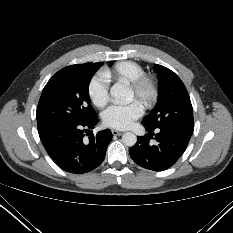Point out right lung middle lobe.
Masks as SVG:
<instances>
[{"instance_id": "right-lung-middle-lobe-1", "label": "right lung middle lobe", "mask_w": 233, "mask_h": 233, "mask_svg": "<svg viewBox=\"0 0 233 233\" xmlns=\"http://www.w3.org/2000/svg\"><path fill=\"white\" fill-rule=\"evenodd\" d=\"M102 63L65 67L45 85L36 112L38 130L51 124L84 123L96 116L90 104L89 83Z\"/></svg>"}]
</instances>
